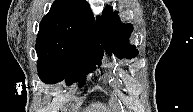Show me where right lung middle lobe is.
Here are the masks:
<instances>
[{
    "label": "right lung middle lobe",
    "instance_id": "obj_1",
    "mask_svg": "<svg viewBox=\"0 0 193 112\" xmlns=\"http://www.w3.org/2000/svg\"><path fill=\"white\" fill-rule=\"evenodd\" d=\"M36 51L39 77L46 84L63 79H66L67 85L74 81L83 83L86 74L96 69L103 55L102 49L58 37H37Z\"/></svg>",
    "mask_w": 193,
    "mask_h": 112
}]
</instances>
